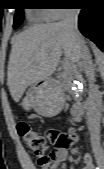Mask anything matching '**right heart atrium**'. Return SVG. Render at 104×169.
<instances>
[{"instance_id":"right-heart-atrium-1","label":"right heart atrium","mask_w":104,"mask_h":169,"mask_svg":"<svg viewBox=\"0 0 104 169\" xmlns=\"http://www.w3.org/2000/svg\"><path fill=\"white\" fill-rule=\"evenodd\" d=\"M48 10L50 11L49 15L50 20H62L74 12V9H65V8H53Z\"/></svg>"}]
</instances>
